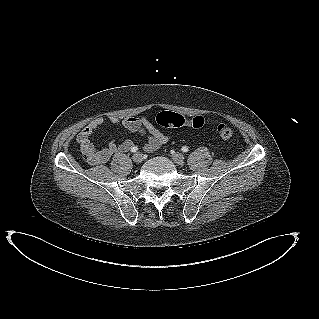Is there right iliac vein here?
Returning a JSON list of instances; mask_svg holds the SVG:
<instances>
[{"mask_svg": "<svg viewBox=\"0 0 319 319\" xmlns=\"http://www.w3.org/2000/svg\"><path fill=\"white\" fill-rule=\"evenodd\" d=\"M132 159L135 163H141L143 161V155L137 152L133 155Z\"/></svg>", "mask_w": 319, "mask_h": 319, "instance_id": "obj_1", "label": "right iliac vein"}]
</instances>
